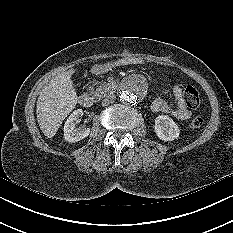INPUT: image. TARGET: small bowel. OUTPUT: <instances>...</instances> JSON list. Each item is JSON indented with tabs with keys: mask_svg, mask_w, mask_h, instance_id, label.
I'll list each match as a JSON object with an SVG mask.
<instances>
[{
	"mask_svg": "<svg viewBox=\"0 0 233 233\" xmlns=\"http://www.w3.org/2000/svg\"><path fill=\"white\" fill-rule=\"evenodd\" d=\"M173 94L176 100L175 105L162 98H156L151 105L153 112L171 115L179 120L189 119L192 113L185 103L182 87L179 85L174 86Z\"/></svg>",
	"mask_w": 233,
	"mask_h": 233,
	"instance_id": "1",
	"label": "small bowel"
}]
</instances>
